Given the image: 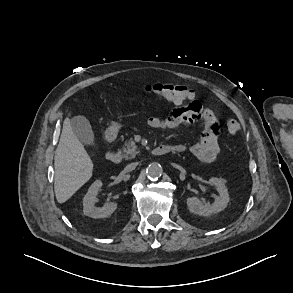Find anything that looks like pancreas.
I'll list each match as a JSON object with an SVG mask.
<instances>
[{
  "mask_svg": "<svg viewBox=\"0 0 293 293\" xmlns=\"http://www.w3.org/2000/svg\"><path fill=\"white\" fill-rule=\"evenodd\" d=\"M122 153L125 159H131L138 153L137 145L132 138L125 144Z\"/></svg>",
  "mask_w": 293,
  "mask_h": 293,
  "instance_id": "obj_1",
  "label": "pancreas"
}]
</instances>
